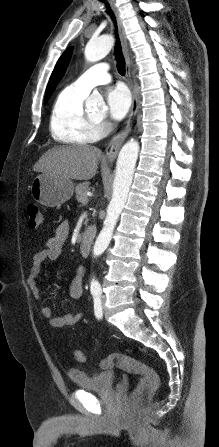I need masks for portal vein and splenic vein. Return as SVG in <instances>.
<instances>
[{
	"mask_svg": "<svg viewBox=\"0 0 219 447\" xmlns=\"http://www.w3.org/2000/svg\"><path fill=\"white\" fill-rule=\"evenodd\" d=\"M82 203H88V198H84V199L82 200Z\"/></svg>",
	"mask_w": 219,
	"mask_h": 447,
	"instance_id": "portal-vein-and-splenic-vein-1",
	"label": "portal vein and splenic vein"
}]
</instances>
